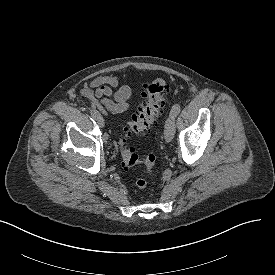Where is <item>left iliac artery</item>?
<instances>
[{
  "instance_id": "1",
  "label": "left iliac artery",
  "mask_w": 275,
  "mask_h": 275,
  "mask_svg": "<svg viewBox=\"0 0 275 275\" xmlns=\"http://www.w3.org/2000/svg\"><path fill=\"white\" fill-rule=\"evenodd\" d=\"M181 107L179 104H175L172 109L170 114L174 115L175 117L180 113Z\"/></svg>"
}]
</instances>
